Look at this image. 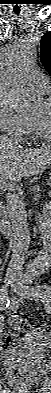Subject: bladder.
<instances>
[{"label":"bladder","mask_w":51,"mask_h":393,"mask_svg":"<svg viewBox=\"0 0 51 393\" xmlns=\"http://www.w3.org/2000/svg\"><path fill=\"white\" fill-rule=\"evenodd\" d=\"M21 367L27 375L26 382H35L47 375L50 370L49 364L46 361H41L39 364L24 362Z\"/></svg>","instance_id":"bladder-1"}]
</instances>
